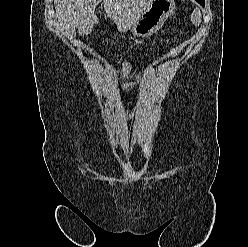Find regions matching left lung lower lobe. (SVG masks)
Here are the masks:
<instances>
[{
  "instance_id": "1",
  "label": "left lung lower lobe",
  "mask_w": 248,
  "mask_h": 247,
  "mask_svg": "<svg viewBox=\"0 0 248 247\" xmlns=\"http://www.w3.org/2000/svg\"><path fill=\"white\" fill-rule=\"evenodd\" d=\"M201 6H205V0H196Z\"/></svg>"
}]
</instances>
